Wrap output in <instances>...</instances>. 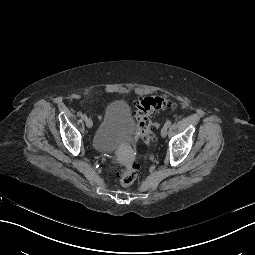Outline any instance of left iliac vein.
Here are the masks:
<instances>
[{"mask_svg":"<svg viewBox=\"0 0 255 255\" xmlns=\"http://www.w3.org/2000/svg\"><path fill=\"white\" fill-rule=\"evenodd\" d=\"M167 135V127L163 126L161 129V136L164 138Z\"/></svg>","mask_w":255,"mask_h":255,"instance_id":"left-iliac-vein-1","label":"left iliac vein"}]
</instances>
